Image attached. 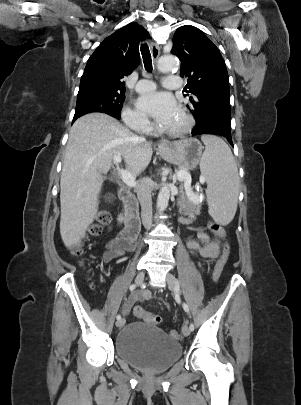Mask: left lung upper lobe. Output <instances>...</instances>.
<instances>
[{"label": "left lung upper lobe", "instance_id": "obj_1", "mask_svg": "<svg viewBox=\"0 0 301 405\" xmlns=\"http://www.w3.org/2000/svg\"><path fill=\"white\" fill-rule=\"evenodd\" d=\"M171 53L181 61V76L188 77V109L198 121L222 118L231 122L226 65L216 45L198 28L179 27ZM188 96V95H185Z\"/></svg>", "mask_w": 301, "mask_h": 405}]
</instances>
